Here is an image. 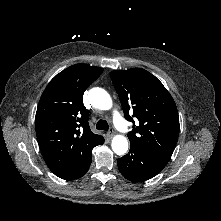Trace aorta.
Segmentation results:
<instances>
[{
	"mask_svg": "<svg viewBox=\"0 0 221 221\" xmlns=\"http://www.w3.org/2000/svg\"><path fill=\"white\" fill-rule=\"evenodd\" d=\"M89 99L91 104L98 109L109 110L112 107L110 95L102 88H92L89 91ZM111 146L117 155H124L128 150V141L123 135H116L112 139Z\"/></svg>",
	"mask_w": 221,
	"mask_h": 221,
	"instance_id": "1",
	"label": "aorta"
}]
</instances>
